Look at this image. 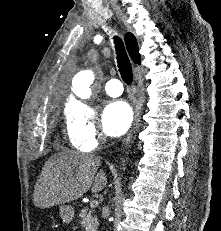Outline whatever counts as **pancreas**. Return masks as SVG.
Returning <instances> with one entry per match:
<instances>
[{
	"instance_id": "1",
	"label": "pancreas",
	"mask_w": 221,
	"mask_h": 231,
	"mask_svg": "<svg viewBox=\"0 0 221 231\" xmlns=\"http://www.w3.org/2000/svg\"><path fill=\"white\" fill-rule=\"evenodd\" d=\"M94 212V209L85 207L79 213L80 224L86 231H97L99 223Z\"/></svg>"
}]
</instances>
